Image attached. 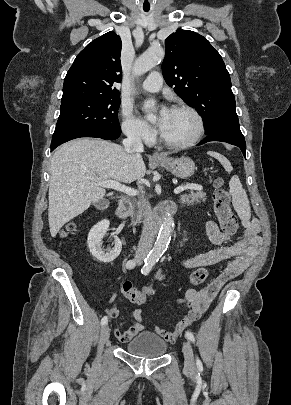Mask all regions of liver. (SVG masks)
Wrapping results in <instances>:
<instances>
[{
	"label": "liver",
	"instance_id": "liver-1",
	"mask_svg": "<svg viewBox=\"0 0 291 405\" xmlns=\"http://www.w3.org/2000/svg\"><path fill=\"white\" fill-rule=\"evenodd\" d=\"M48 221L52 237L91 204L104 199L98 181L132 183L145 176L140 153L129 154L122 146L100 139L71 140L51 159Z\"/></svg>",
	"mask_w": 291,
	"mask_h": 405
}]
</instances>
